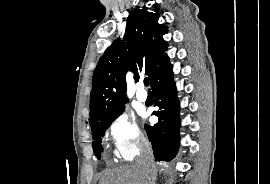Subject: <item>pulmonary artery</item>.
Wrapping results in <instances>:
<instances>
[{"label": "pulmonary artery", "mask_w": 270, "mask_h": 184, "mask_svg": "<svg viewBox=\"0 0 270 184\" xmlns=\"http://www.w3.org/2000/svg\"><path fill=\"white\" fill-rule=\"evenodd\" d=\"M136 98L140 102H145L147 100V93L142 88H139L136 93Z\"/></svg>", "instance_id": "pulmonary-artery-1"}]
</instances>
